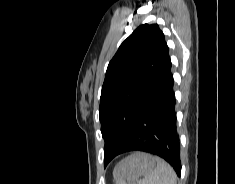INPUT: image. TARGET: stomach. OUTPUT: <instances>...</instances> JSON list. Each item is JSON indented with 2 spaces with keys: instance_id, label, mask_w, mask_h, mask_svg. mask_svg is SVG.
<instances>
[{
  "instance_id": "obj_1",
  "label": "stomach",
  "mask_w": 235,
  "mask_h": 184,
  "mask_svg": "<svg viewBox=\"0 0 235 184\" xmlns=\"http://www.w3.org/2000/svg\"><path fill=\"white\" fill-rule=\"evenodd\" d=\"M155 168V156L145 154V152H134L115 166L113 178L115 182L134 184L140 176H148Z\"/></svg>"
}]
</instances>
